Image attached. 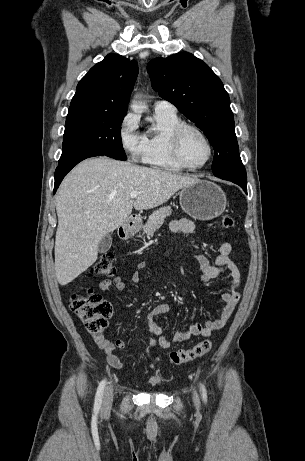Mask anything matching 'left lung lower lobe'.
Instances as JSON below:
<instances>
[{"label": "left lung lower lobe", "instance_id": "1", "mask_svg": "<svg viewBox=\"0 0 305 461\" xmlns=\"http://www.w3.org/2000/svg\"><path fill=\"white\" fill-rule=\"evenodd\" d=\"M225 180H229V181H232L240 185L243 188V190L247 193V181H241V180H235V179H225Z\"/></svg>", "mask_w": 305, "mask_h": 461}]
</instances>
